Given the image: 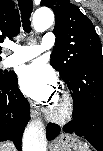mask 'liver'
<instances>
[{
    "label": "liver",
    "instance_id": "1",
    "mask_svg": "<svg viewBox=\"0 0 103 151\" xmlns=\"http://www.w3.org/2000/svg\"><path fill=\"white\" fill-rule=\"evenodd\" d=\"M1 151H15V148L12 144H8L7 146L2 144L1 145Z\"/></svg>",
    "mask_w": 103,
    "mask_h": 151
}]
</instances>
